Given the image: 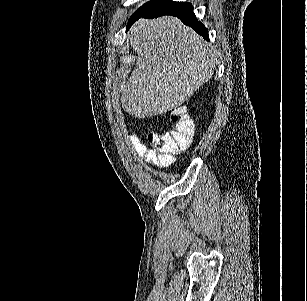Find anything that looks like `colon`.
Wrapping results in <instances>:
<instances>
[{
	"label": "colon",
	"instance_id": "1",
	"mask_svg": "<svg viewBox=\"0 0 307 301\" xmlns=\"http://www.w3.org/2000/svg\"><path fill=\"white\" fill-rule=\"evenodd\" d=\"M172 129L163 133H152L149 136L151 150L164 165L174 162L175 156L186 149L193 138L194 124L183 107L171 112Z\"/></svg>",
	"mask_w": 307,
	"mask_h": 301
}]
</instances>
